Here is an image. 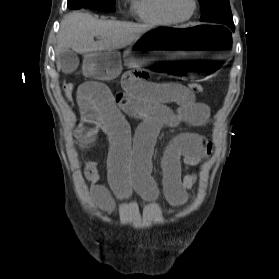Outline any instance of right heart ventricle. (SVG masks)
<instances>
[{"label":"right heart ventricle","instance_id":"e07e8e85","mask_svg":"<svg viewBox=\"0 0 279 279\" xmlns=\"http://www.w3.org/2000/svg\"><path fill=\"white\" fill-rule=\"evenodd\" d=\"M132 10L137 19L153 26H169L174 24L161 8L160 0H133Z\"/></svg>","mask_w":279,"mask_h":279}]
</instances>
